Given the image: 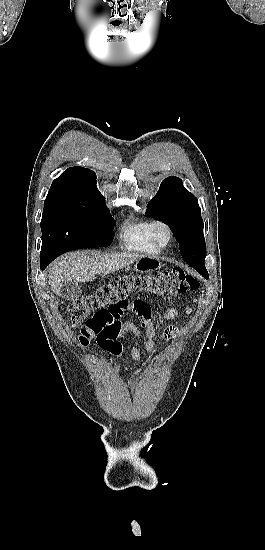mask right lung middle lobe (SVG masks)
Segmentation results:
<instances>
[{"mask_svg": "<svg viewBox=\"0 0 265 550\" xmlns=\"http://www.w3.org/2000/svg\"><path fill=\"white\" fill-rule=\"evenodd\" d=\"M115 221L105 199L44 202L40 258L53 261L74 249L110 245Z\"/></svg>", "mask_w": 265, "mask_h": 550, "instance_id": "obj_1", "label": "right lung middle lobe"}]
</instances>
